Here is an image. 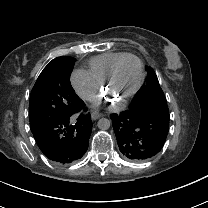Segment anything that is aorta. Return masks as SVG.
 <instances>
[{
  "mask_svg": "<svg viewBox=\"0 0 208 208\" xmlns=\"http://www.w3.org/2000/svg\"><path fill=\"white\" fill-rule=\"evenodd\" d=\"M110 125H111L110 120H108L106 118H101L97 123L98 128L101 129V130L109 129Z\"/></svg>",
  "mask_w": 208,
  "mask_h": 208,
  "instance_id": "aorta-1",
  "label": "aorta"
}]
</instances>
